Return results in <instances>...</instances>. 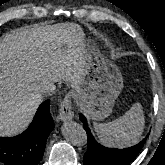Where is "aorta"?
Masks as SVG:
<instances>
[{
    "label": "aorta",
    "instance_id": "762f6f07",
    "mask_svg": "<svg viewBox=\"0 0 165 165\" xmlns=\"http://www.w3.org/2000/svg\"><path fill=\"white\" fill-rule=\"evenodd\" d=\"M62 134L69 143L76 146H82L87 142L86 131L80 124L74 121L64 123Z\"/></svg>",
    "mask_w": 165,
    "mask_h": 165
}]
</instances>
